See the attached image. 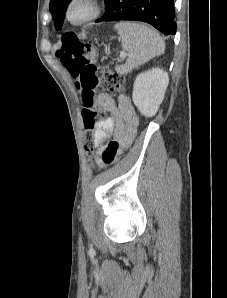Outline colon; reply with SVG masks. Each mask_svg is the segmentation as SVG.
Instances as JSON below:
<instances>
[{"label": "colon", "mask_w": 227, "mask_h": 298, "mask_svg": "<svg viewBox=\"0 0 227 298\" xmlns=\"http://www.w3.org/2000/svg\"><path fill=\"white\" fill-rule=\"evenodd\" d=\"M94 50L90 43L79 40L74 34H65L57 50V57L68 73L77 80L84 104L82 113L84 127V145L88 154L93 150L92 130L105 115L94 110L95 90L98 86L110 92H119L125 88V80L109 67H99L92 63Z\"/></svg>", "instance_id": "obj_1"}]
</instances>
